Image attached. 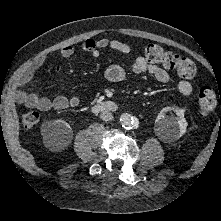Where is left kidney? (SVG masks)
I'll return each instance as SVG.
<instances>
[{
    "label": "left kidney",
    "mask_w": 221,
    "mask_h": 221,
    "mask_svg": "<svg viewBox=\"0 0 221 221\" xmlns=\"http://www.w3.org/2000/svg\"><path fill=\"white\" fill-rule=\"evenodd\" d=\"M168 111L176 112V118L165 116ZM185 110L174 107H165L158 114L155 121V131L164 140L173 141L179 139L187 128V121L184 117Z\"/></svg>",
    "instance_id": "left-kidney-1"
}]
</instances>
